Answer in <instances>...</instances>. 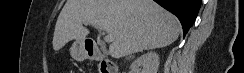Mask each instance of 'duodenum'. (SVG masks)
<instances>
[{
  "label": "duodenum",
  "instance_id": "duodenum-1",
  "mask_svg": "<svg viewBox=\"0 0 244 73\" xmlns=\"http://www.w3.org/2000/svg\"><path fill=\"white\" fill-rule=\"evenodd\" d=\"M84 50L88 59L101 63L99 73H116L115 65L105 58L104 51L98 43H86Z\"/></svg>",
  "mask_w": 244,
  "mask_h": 73
}]
</instances>
